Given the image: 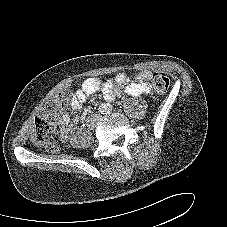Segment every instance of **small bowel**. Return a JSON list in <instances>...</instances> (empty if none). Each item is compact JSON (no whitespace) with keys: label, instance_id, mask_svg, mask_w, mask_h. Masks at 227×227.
<instances>
[{"label":"small bowel","instance_id":"small-bowel-1","mask_svg":"<svg viewBox=\"0 0 227 227\" xmlns=\"http://www.w3.org/2000/svg\"><path fill=\"white\" fill-rule=\"evenodd\" d=\"M151 73L148 70L139 72L135 80L130 81L125 72L118 73L114 78L102 82L99 78L90 77L85 79L80 87L73 94L70 106L73 110L80 111L87 96L101 91L108 101L114 100L122 93L131 96H139L150 92L149 79ZM56 124L59 127V139L67 141L71 134V117L67 112H62L56 117Z\"/></svg>","mask_w":227,"mask_h":227}]
</instances>
